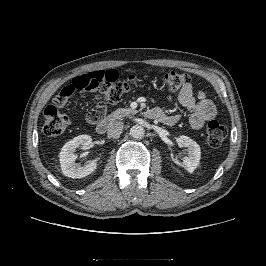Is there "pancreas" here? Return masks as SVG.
Here are the masks:
<instances>
[{
  "label": "pancreas",
  "mask_w": 266,
  "mask_h": 266,
  "mask_svg": "<svg viewBox=\"0 0 266 266\" xmlns=\"http://www.w3.org/2000/svg\"><path fill=\"white\" fill-rule=\"evenodd\" d=\"M138 111L133 110L130 108H119L116 111H114L112 114L108 116L109 120H114V119H122L125 117H131L135 115Z\"/></svg>",
  "instance_id": "cf45deb5"
}]
</instances>
